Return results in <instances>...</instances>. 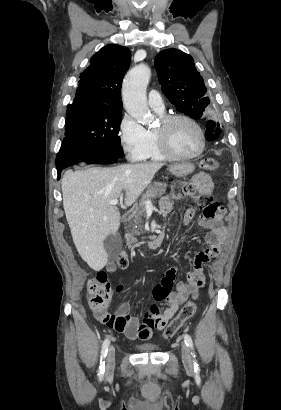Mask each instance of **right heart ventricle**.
I'll return each mask as SVG.
<instances>
[{"instance_id": "1", "label": "right heart ventricle", "mask_w": 281, "mask_h": 410, "mask_svg": "<svg viewBox=\"0 0 281 410\" xmlns=\"http://www.w3.org/2000/svg\"><path fill=\"white\" fill-rule=\"evenodd\" d=\"M160 117L164 116V112H157ZM168 158L164 155V153L159 148V145L156 140L155 130H148L147 131V143L145 149L140 157L139 160L141 161H164Z\"/></svg>"}]
</instances>
